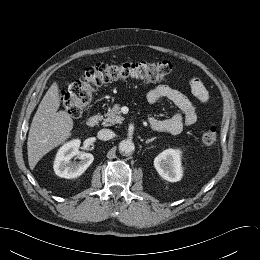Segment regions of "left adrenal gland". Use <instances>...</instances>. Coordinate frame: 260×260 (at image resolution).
I'll use <instances>...</instances> for the list:
<instances>
[{
    "label": "left adrenal gland",
    "mask_w": 260,
    "mask_h": 260,
    "mask_svg": "<svg viewBox=\"0 0 260 260\" xmlns=\"http://www.w3.org/2000/svg\"><path fill=\"white\" fill-rule=\"evenodd\" d=\"M155 139H156V137H153V138H151V139H147L145 143L148 144V143L152 142V141L155 140Z\"/></svg>",
    "instance_id": "1"
}]
</instances>
